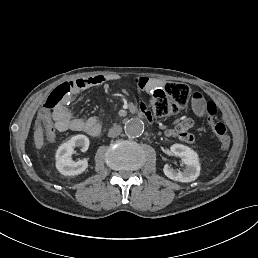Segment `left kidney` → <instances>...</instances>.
<instances>
[{"label":"left kidney","mask_w":258,"mask_h":258,"mask_svg":"<svg viewBox=\"0 0 258 258\" xmlns=\"http://www.w3.org/2000/svg\"><path fill=\"white\" fill-rule=\"evenodd\" d=\"M170 151L174 156L180 157L186 167L183 171H176L168 164H165L163 168L164 174L168 178L179 182H191L196 180L200 175L201 169L198 154L183 144H173L170 147Z\"/></svg>","instance_id":"left-kidney-1"}]
</instances>
